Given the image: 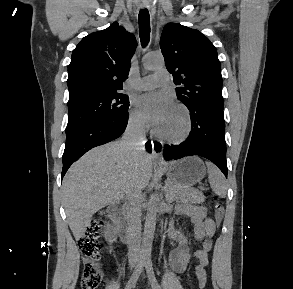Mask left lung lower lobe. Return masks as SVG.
Listing matches in <instances>:
<instances>
[{"label":"left lung lower lobe","instance_id":"0a47b994","mask_svg":"<svg viewBox=\"0 0 293 289\" xmlns=\"http://www.w3.org/2000/svg\"><path fill=\"white\" fill-rule=\"evenodd\" d=\"M190 111L191 133L178 146H167L166 160L198 155L212 161L227 177L225 123L223 110L211 106H195Z\"/></svg>","mask_w":293,"mask_h":289}]
</instances>
